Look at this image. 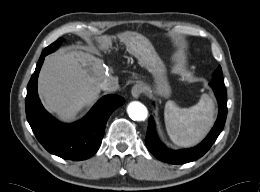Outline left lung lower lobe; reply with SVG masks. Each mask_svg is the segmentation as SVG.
Returning a JSON list of instances; mask_svg holds the SVG:
<instances>
[{
  "label": "left lung lower lobe",
  "mask_w": 260,
  "mask_h": 192,
  "mask_svg": "<svg viewBox=\"0 0 260 192\" xmlns=\"http://www.w3.org/2000/svg\"><path fill=\"white\" fill-rule=\"evenodd\" d=\"M210 86L212 87L218 100L219 114L210 133L196 147L177 151L168 149L164 144H162L155 133L153 117L151 116L149 118L145 143L148 150L156 158L170 164L188 163L202 157L210 149L223 130L227 116V92L224 83L211 82Z\"/></svg>",
  "instance_id": "0a47b994"
}]
</instances>
